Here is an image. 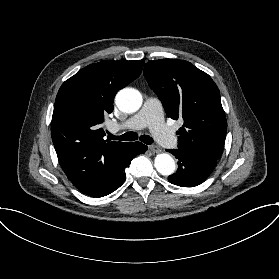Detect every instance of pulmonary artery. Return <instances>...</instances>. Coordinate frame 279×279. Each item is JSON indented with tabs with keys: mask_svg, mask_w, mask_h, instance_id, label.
<instances>
[{
	"mask_svg": "<svg viewBox=\"0 0 279 279\" xmlns=\"http://www.w3.org/2000/svg\"><path fill=\"white\" fill-rule=\"evenodd\" d=\"M166 115L164 108L161 106L159 98L150 96L146 99L141 111L136 116H129L126 119H115L111 122L110 128L113 132L118 133L121 130L139 129L149 126L154 138L160 144L174 150L178 147L179 142L174 135V129L165 126Z\"/></svg>",
	"mask_w": 279,
	"mask_h": 279,
	"instance_id": "obj_1",
	"label": "pulmonary artery"
}]
</instances>
